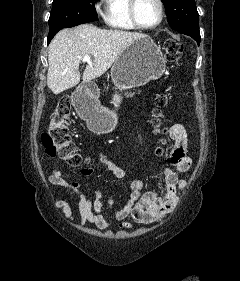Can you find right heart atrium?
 <instances>
[{
    "label": "right heart atrium",
    "instance_id": "d8ad5b80",
    "mask_svg": "<svg viewBox=\"0 0 240 281\" xmlns=\"http://www.w3.org/2000/svg\"><path fill=\"white\" fill-rule=\"evenodd\" d=\"M94 6H95V9L97 10L98 13L102 12L101 6L98 2H95Z\"/></svg>",
    "mask_w": 240,
    "mask_h": 281
}]
</instances>
